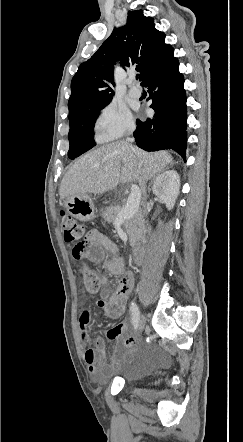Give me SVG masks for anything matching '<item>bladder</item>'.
I'll return each instance as SVG.
<instances>
[{"label":"bladder","mask_w":243,"mask_h":442,"mask_svg":"<svg viewBox=\"0 0 243 442\" xmlns=\"http://www.w3.org/2000/svg\"><path fill=\"white\" fill-rule=\"evenodd\" d=\"M153 368L145 356L141 354L134 355L125 362L118 370L119 376L126 383H136L149 376Z\"/></svg>","instance_id":"31cf9c89"}]
</instances>
